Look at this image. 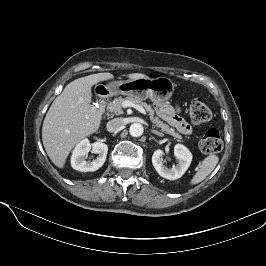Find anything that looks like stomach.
I'll return each instance as SVG.
<instances>
[{
	"label": "stomach",
	"instance_id": "obj_1",
	"mask_svg": "<svg viewBox=\"0 0 266 266\" xmlns=\"http://www.w3.org/2000/svg\"><path fill=\"white\" fill-rule=\"evenodd\" d=\"M106 89L111 93H120L139 100L149 98L152 102L158 104L171 98L175 90V84L167 77H142L112 82L106 85Z\"/></svg>",
	"mask_w": 266,
	"mask_h": 266
}]
</instances>
